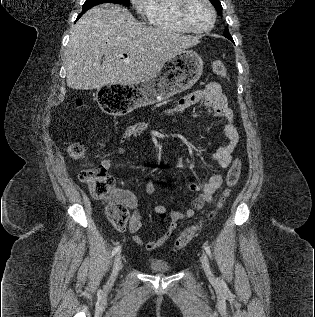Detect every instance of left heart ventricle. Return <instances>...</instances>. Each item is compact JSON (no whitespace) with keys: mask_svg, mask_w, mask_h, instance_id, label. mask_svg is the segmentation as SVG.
<instances>
[{"mask_svg":"<svg viewBox=\"0 0 315 317\" xmlns=\"http://www.w3.org/2000/svg\"><path fill=\"white\" fill-rule=\"evenodd\" d=\"M188 22L195 28L202 29L209 26L211 14L202 0H192L186 11Z\"/></svg>","mask_w":315,"mask_h":317,"instance_id":"left-heart-ventricle-1","label":"left heart ventricle"}]
</instances>
